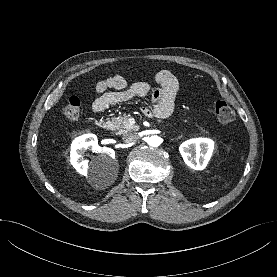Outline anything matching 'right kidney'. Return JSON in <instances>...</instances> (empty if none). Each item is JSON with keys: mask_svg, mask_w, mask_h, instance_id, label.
Masks as SVG:
<instances>
[{"mask_svg": "<svg viewBox=\"0 0 277 277\" xmlns=\"http://www.w3.org/2000/svg\"><path fill=\"white\" fill-rule=\"evenodd\" d=\"M86 150H95L100 153L98 161L101 163L112 164L115 169V152L111 148H101L98 146L97 137L93 134H85L76 138L71 145L70 161L73 167L82 175L87 176L88 172H97L100 166L84 160L83 154Z\"/></svg>", "mask_w": 277, "mask_h": 277, "instance_id": "1", "label": "right kidney"}]
</instances>
